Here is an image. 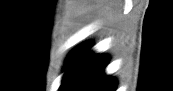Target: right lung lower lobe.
<instances>
[{"label": "right lung lower lobe", "instance_id": "98d812e1", "mask_svg": "<svg viewBox=\"0 0 173 91\" xmlns=\"http://www.w3.org/2000/svg\"><path fill=\"white\" fill-rule=\"evenodd\" d=\"M90 46L84 43L68 57L61 91H114L116 88V80L103 74L109 57L89 53Z\"/></svg>", "mask_w": 173, "mask_h": 91}]
</instances>
